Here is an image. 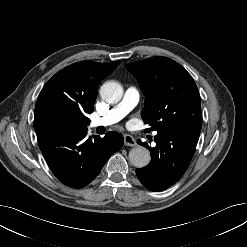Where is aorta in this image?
Masks as SVG:
<instances>
[{
	"label": "aorta",
	"mask_w": 247,
	"mask_h": 247,
	"mask_svg": "<svg viewBox=\"0 0 247 247\" xmlns=\"http://www.w3.org/2000/svg\"><path fill=\"white\" fill-rule=\"evenodd\" d=\"M101 98L109 104L118 103L123 96L122 86L115 81L105 82L100 88ZM150 152L143 146H136L129 152V162L137 168H143L150 162Z\"/></svg>",
	"instance_id": "aorta-1"
}]
</instances>
